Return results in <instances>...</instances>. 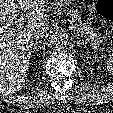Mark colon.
Returning a JSON list of instances; mask_svg holds the SVG:
<instances>
[{"mask_svg":"<svg viewBox=\"0 0 113 113\" xmlns=\"http://www.w3.org/2000/svg\"><path fill=\"white\" fill-rule=\"evenodd\" d=\"M96 11L103 19L113 23V0H98Z\"/></svg>","mask_w":113,"mask_h":113,"instance_id":"1","label":"colon"}]
</instances>
